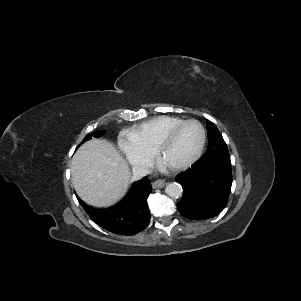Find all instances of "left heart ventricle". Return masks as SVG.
I'll list each match as a JSON object with an SVG mask.
<instances>
[{
  "instance_id": "b2bd125f",
  "label": "left heart ventricle",
  "mask_w": 301,
  "mask_h": 301,
  "mask_svg": "<svg viewBox=\"0 0 301 301\" xmlns=\"http://www.w3.org/2000/svg\"><path fill=\"white\" fill-rule=\"evenodd\" d=\"M201 139L198 125H185L176 136L165 146L162 161L165 165H176L185 162L196 152Z\"/></svg>"
}]
</instances>
